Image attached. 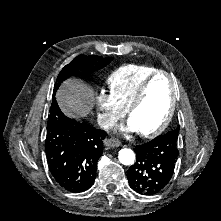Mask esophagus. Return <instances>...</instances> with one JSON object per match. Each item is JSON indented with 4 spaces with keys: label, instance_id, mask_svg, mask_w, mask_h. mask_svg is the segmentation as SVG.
<instances>
[{
    "label": "esophagus",
    "instance_id": "1",
    "mask_svg": "<svg viewBox=\"0 0 221 221\" xmlns=\"http://www.w3.org/2000/svg\"><path fill=\"white\" fill-rule=\"evenodd\" d=\"M104 145L106 147H119L121 144L119 141H116L114 139H105L104 140Z\"/></svg>",
    "mask_w": 221,
    "mask_h": 221
}]
</instances>
